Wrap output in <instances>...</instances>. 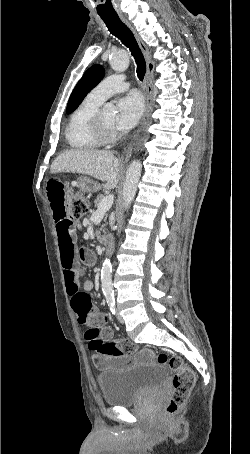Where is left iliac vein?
Listing matches in <instances>:
<instances>
[{
	"label": "left iliac vein",
	"mask_w": 250,
	"mask_h": 454,
	"mask_svg": "<svg viewBox=\"0 0 250 454\" xmlns=\"http://www.w3.org/2000/svg\"><path fill=\"white\" fill-rule=\"evenodd\" d=\"M117 319H118V321H119L120 323H123V322H124V319H123V317L120 315L118 309H117Z\"/></svg>",
	"instance_id": "1"
}]
</instances>
